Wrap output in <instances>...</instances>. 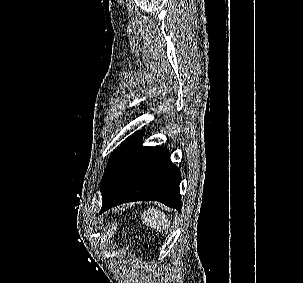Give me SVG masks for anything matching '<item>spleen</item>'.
I'll return each mask as SVG.
<instances>
[{"label":"spleen","instance_id":"3e777b00","mask_svg":"<svg viewBox=\"0 0 303 283\" xmlns=\"http://www.w3.org/2000/svg\"><path fill=\"white\" fill-rule=\"evenodd\" d=\"M143 222L160 232L166 231L170 228L171 221L164 214V212L157 210L155 208L148 209L141 216Z\"/></svg>","mask_w":303,"mask_h":283}]
</instances>
